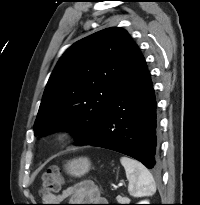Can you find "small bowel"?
Instances as JSON below:
<instances>
[{"label": "small bowel", "mask_w": 200, "mask_h": 205, "mask_svg": "<svg viewBox=\"0 0 200 205\" xmlns=\"http://www.w3.org/2000/svg\"><path fill=\"white\" fill-rule=\"evenodd\" d=\"M70 199L73 202H88V203H101L105 200L101 197L96 186L91 181H83L70 186L63 190L61 194L49 196L44 198L46 203H57ZM54 205V204H46ZM82 205V204H75ZM87 205H105V204H87Z\"/></svg>", "instance_id": "obj_1"}]
</instances>
